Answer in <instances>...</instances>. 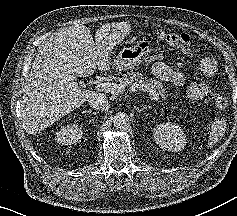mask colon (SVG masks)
Here are the masks:
<instances>
[{"instance_id": "colon-1", "label": "colon", "mask_w": 237, "mask_h": 216, "mask_svg": "<svg viewBox=\"0 0 237 216\" xmlns=\"http://www.w3.org/2000/svg\"><path fill=\"white\" fill-rule=\"evenodd\" d=\"M157 36L176 49L182 51H188L190 49L191 39L190 36L185 33H166L164 31H158ZM214 102L219 109H225L229 104L227 96L222 94L215 95Z\"/></svg>"}]
</instances>
